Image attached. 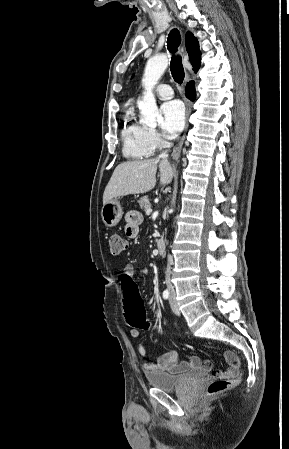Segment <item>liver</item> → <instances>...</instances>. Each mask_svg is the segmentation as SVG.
<instances>
[{"label": "liver", "instance_id": "6515ba94", "mask_svg": "<svg viewBox=\"0 0 289 449\" xmlns=\"http://www.w3.org/2000/svg\"><path fill=\"white\" fill-rule=\"evenodd\" d=\"M157 167L160 171V184L171 183L173 168L167 159L153 158L119 164L105 188L103 205L113 198L152 190L156 184Z\"/></svg>", "mask_w": 289, "mask_h": 449}]
</instances>
